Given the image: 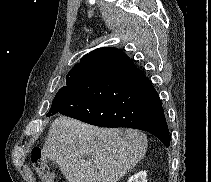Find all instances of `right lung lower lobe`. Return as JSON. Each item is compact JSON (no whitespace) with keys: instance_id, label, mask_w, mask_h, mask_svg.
<instances>
[{"instance_id":"1","label":"right lung lower lobe","mask_w":211,"mask_h":182,"mask_svg":"<svg viewBox=\"0 0 211 182\" xmlns=\"http://www.w3.org/2000/svg\"><path fill=\"white\" fill-rule=\"evenodd\" d=\"M55 113L101 127L145 130L166 147L169 131L160 98L144 73L116 48L90 52L75 88Z\"/></svg>"}]
</instances>
